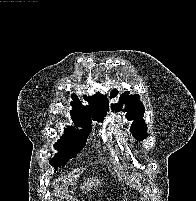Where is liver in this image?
Wrapping results in <instances>:
<instances>
[{
    "label": "liver",
    "mask_w": 196,
    "mask_h": 201,
    "mask_svg": "<svg viewBox=\"0 0 196 201\" xmlns=\"http://www.w3.org/2000/svg\"><path fill=\"white\" fill-rule=\"evenodd\" d=\"M94 182H96L97 185L100 184V181H99L97 178H92V179H87V182H85V183L83 184V186H81L80 188L83 190V189H85V187H86V189H87L88 191H90L91 188H92L93 185H94ZM70 183H71L72 185H74V182H72L71 180H70ZM68 184H69V183H68L66 180H64V185H68Z\"/></svg>",
    "instance_id": "liver-1"
}]
</instances>
